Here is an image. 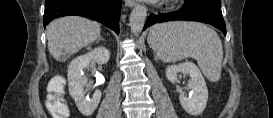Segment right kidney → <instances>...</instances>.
<instances>
[{
	"label": "right kidney",
	"mask_w": 273,
	"mask_h": 118,
	"mask_svg": "<svg viewBox=\"0 0 273 118\" xmlns=\"http://www.w3.org/2000/svg\"><path fill=\"white\" fill-rule=\"evenodd\" d=\"M110 52L105 47H97L94 50L78 56L71 61L68 67V85L69 93L75 100V103L81 113L91 115L97 108L101 91L96 90L92 98L86 97L87 77L84 76V70L89 68L92 60L100 64H106L109 61Z\"/></svg>",
	"instance_id": "ca27d5eb"
}]
</instances>
